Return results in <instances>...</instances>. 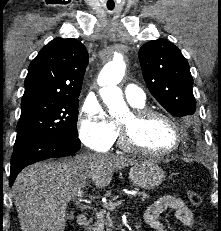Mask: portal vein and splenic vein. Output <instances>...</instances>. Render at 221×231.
Instances as JSON below:
<instances>
[{
    "mask_svg": "<svg viewBox=\"0 0 221 231\" xmlns=\"http://www.w3.org/2000/svg\"><path fill=\"white\" fill-rule=\"evenodd\" d=\"M83 195H84V193L82 190H79L77 192V197L79 198V200H81L83 198ZM124 202H125V200L121 199V200H116L114 202L105 203L103 205L106 206L108 209H114L115 207L123 204Z\"/></svg>",
    "mask_w": 221,
    "mask_h": 231,
    "instance_id": "18ae733b",
    "label": "portal vein and splenic vein"
}]
</instances>
